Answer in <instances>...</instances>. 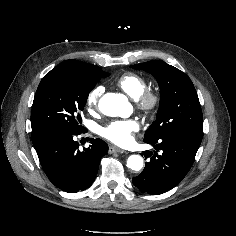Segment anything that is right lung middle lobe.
<instances>
[{"label": "right lung middle lobe", "mask_w": 236, "mask_h": 236, "mask_svg": "<svg viewBox=\"0 0 236 236\" xmlns=\"http://www.w3.org/2000/svg\"><path fill=\"white\" fill-rule=\"evenodd\" d=\"M109 76L102 72L97 78H88L69 66L58 65L41 80L32 105L31 127L33 131L55 130L79 134L80 113L97 81Z\"/></svg>", "instance_id": "dd1d6c3e"}]
</instances>
